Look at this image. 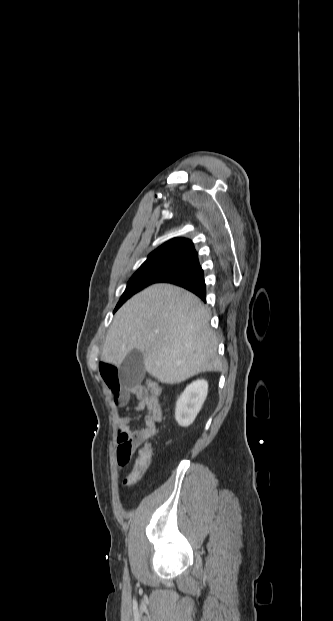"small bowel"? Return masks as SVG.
<instances>
[{
  "label": "small bowel",
  "instance_id": "obj_1",
  "mask_svg": "<svg viewBox=\"0 0 333 621\" xmlns=\"http://www.w3.org/2000/svg\"><path fill=\"white\" fill-rule=\"evenodd\" d=\"M99 370L113 403L128 407L129 416L120 419L117 432L116 459L119 466H124L135 449L156 434L157 425L162 421V408L159 397L151 392L148 382L125 385L117 366L108 361L100 362ZM132 398L136 399V403L130 406ZM139 420H143L144 426L132 429V424Z\"/></svg>",
  "mask_w": 333,
  "mask_h": 621
}]
</instances>
